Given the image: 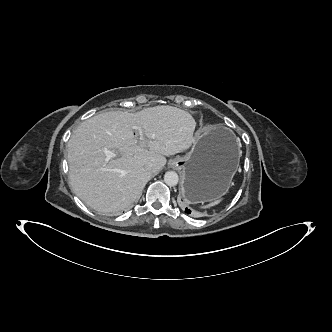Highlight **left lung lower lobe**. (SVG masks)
<instances>
[{
	"instance_id": "1",
	"label": "left lung lower lobe",
	"mask_w": 332,
	"mask_h": 332,
	"mask_svg": "<svg viewBox=\"0 0 332 332\" xmlns=\"http://www.w3.org/2000/svg\"><path fill=\"white\" fill-rule=\"evenodd\" d=\"M185 212H186L187 214H190V213H191V211H190L188 208L185 209Z\"/></svg>"
}]
</instances>
